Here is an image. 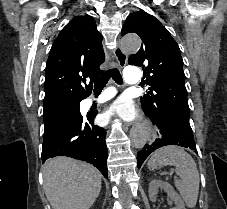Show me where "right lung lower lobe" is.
Listing matches in <instances>:
<instances>
[{
	"instance_id": "98d812e1",
	"label": "right lung lower lobe",
	"mask_w": 227,
	"mask_h": 209,
	"mask_svg": "<svg viewBox=\"0 0 227 209\" xmlns=\"http://www.w3.org/2000/svg\"><path fill=\"white\" fill-rule=\"evenodd\" d=\"M95 114L78 115L44 132L42 161L68 156L93 164L107 176L106 131L94 125Z\"/></svg>"
}]
</instances>
